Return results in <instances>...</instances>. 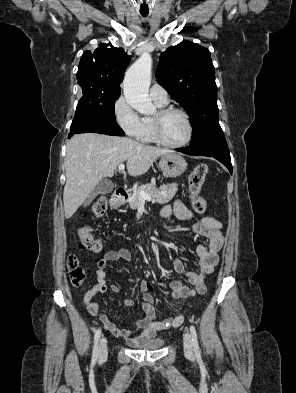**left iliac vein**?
<instances>
[{"instance_id":"obj_1","label":"left iliac vein","mask_w":296,"mask_h":393,"mask_svg":"<svg viewBox=\"0 0 296 393\" xmlns=\"http://www.w3.org/2000/svg\"><path fill=\"white\" fill-rule=\"evenodd\" d=\"M184 351L187 356H193V341L192 336L189 332L184 334Z\"/></svg>"}]
</instances>
